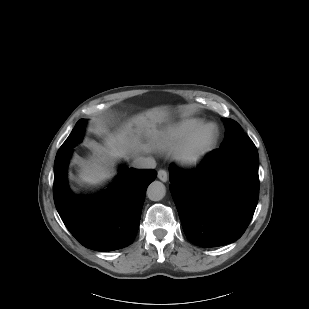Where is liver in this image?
Here are the masks:
<instances>
[{"mask_svg": "<svg viewBox=\"0 0 309 309\" xmlns=\"http://www.w3.org/2000/svg\"><path fill=\"white\" fill-rule=\"evenodd\" d=\"M170 112L165 107H157L133 116L128 122L105 138V145H95V157L80 161L79 182L97 185L112 176V160L128 154L138 153L141 133L154 135L156 126L168 120Z\"/></svg>", "mask_w": 309, "mask_h": 309, "instance_id": "obj_1", "label": "liver"}]
</instances>
